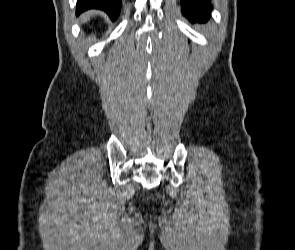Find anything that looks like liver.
<instances>
[{"label": "liver", "mask_w": 295, "mask_h": 250, "mask_svg": "<svg viewBox=\"0 0 295 250\" xmlns=\"http://www.w3.org/2000/svg\"><path fill=\"white\" fill-rule=\"evenodd\" d=\"M93 14V12H88V13H84L82 16H81V21L82 22H86L90 19V16Z\"/></svg>", "instance_id": "obj_1"}]
</instances>
